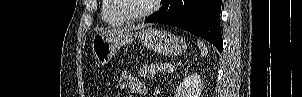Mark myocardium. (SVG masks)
<instances>
[{"label":"myocardium","instance_id":"1","mask_svg":"<svg viewBox=\"0 0 302 97\" xmlns=\"http://www.w3.org/2000/svg\"><path fill=\"white\" fill-rule=\"evenodd\" d=\"M112 3H113L115 12L118 15H120L122 18H124L127 21H139V20H143V19L149 17L156 11L158 1L152 0V3L150 4V6L144 12L139 13V14H130V13L126 12L122 8L120 0H112Z\"/></svg>","mask_w":302,"mask_h":97}]
</instances>
